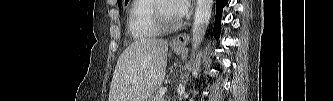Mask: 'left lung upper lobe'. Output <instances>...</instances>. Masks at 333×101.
I'll return each instance as SVG.
<instances>
[{
	"label": "left lung upper lobe",
	"mask_w": 333,
	"mask_h": 101,
	"mask_svg": "<svg viewBox=\"0 0 333 101\" xmlns=\"http://www.w3.org/2000/svg\"><path fill=\"white\" fill-rule=\"evenodd\" d=\"M122 0H118V5L121 6Z\"/></svg>",
	"instance_id": "1"
}]
</instances>
